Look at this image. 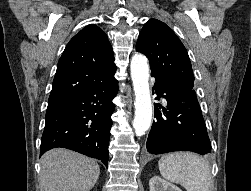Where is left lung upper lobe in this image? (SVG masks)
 Returning a JSON list of instances; mask_svg holds the SVG:
<instances>
[{"label": "left lung upper lobe", "mask_w": 251, "mask_h": 191, "mask_svg": "<svg viewBox=\"0 0 251 191\" xmlns=\"http://www.w3.org/2000/svg\"><path fill=\"white\" fill-rule=\"evenodd\" d=\"M136 50L147 56L155 78L174 87L193 89L194 74L186 48L165 23L157 19L146 22Z\"/></svg>", "instance_id": "left-lung-upper-lobe-1"}]
</instances>
